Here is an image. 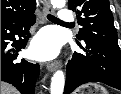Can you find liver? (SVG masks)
Here are the masks:
<instances>
[{
	"label": "liver",
	"instance_id": "6515ba94",
	"mask_svg": "<svg viewBox=\"0 0 121 94\" xmlns=\"http://www.w3.org/2000/svg\"><path fill=\"white\" fill-rule=\"evenodd\" d=\"M1 94H19V92L13 86L1 81Z\"/></svg>",
	"mask_w": 121,
	"mask_h": 94
}]
</instances>
